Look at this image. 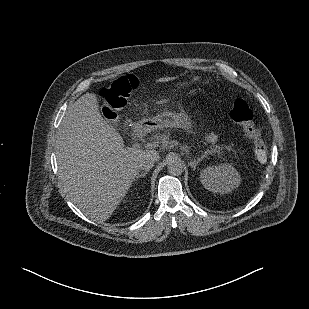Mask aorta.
I'll use <instances>...</instances> for the list:
<instances>
[{
    "label": "aorta",
    "instance_id": "obj_1",
    "mask_svg": "<svg viewBox=\"0 0 309 309\" xmlns=\"http://www.w3.org/2000/svg\"><path fill=\"white\" fill-rule=\"evenodd\" d=\"M167 170L171 175L179 176L184 171V163L179 157L173 156L168 160Z\"/></svg>",
    "mask_w": 309,
    "mask_h": 309
}]
</instances>
